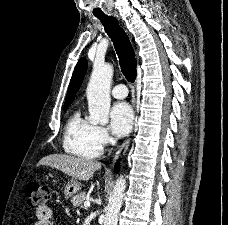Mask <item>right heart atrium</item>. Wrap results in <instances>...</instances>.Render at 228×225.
Wrapping results in <instances>:
<instances>
[{
	"label": "right heart atrium",
	"instance_id": "d8ad5b80",
	"mask_svg": "<svg viewBox=\"0 0 228 225\" xmlns=\"http://www.w3.org/2000/svg\"><path fill=\"white\" fill-rule=\"evenodd\" d=\"M96 134L102 146L107 145L110 142V134L107 128L103 126H96Z\"/></svg>",
	"mask_w": 228,
	"mask_h": 225
}]
</instances>
